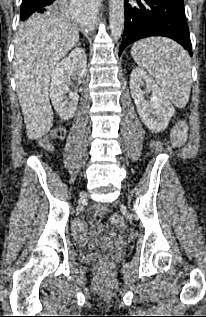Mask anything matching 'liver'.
<instances>
[{
    "mask_svg": "<svg viewBox=\"0 0 206 317\" xmlns=\"http://www.w3.org/2000/svg\"><path fill=\"white\" fill-rule=\"evenodd\" d=\"M79 40L68 15H36L21 24L15 39L16 91L29 139L46 135L53 124L50 77L59 60Z\"/></svg>",
    "mask_w": 206,
    "mask_h": 317,
    "instance_id": "liver-1",
    "label": "liver"
}]
</instances>
